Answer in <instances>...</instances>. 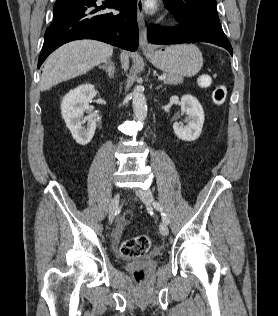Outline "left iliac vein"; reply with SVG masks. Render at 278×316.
Here are the masks:
<instances>
[{
    "instance_id": "obj_1",
    "label": "left iliac vein",
    "mask_w": 278,
    "mask_h": 316,
    "mask_svg": "<svg viewBox=\"0 0 278 316\" xmlns=\"http://www.w3.org/2000/svg\"><path fill=\"white\" fill-rule=\"evenodd\" d=\"M135 192L146 206H151L153 202V194L150 190L136 189ZM159 231L163 236H167L169 234L167 224L161 223L159 226Z\"/></svg>"
}]
</instances>
